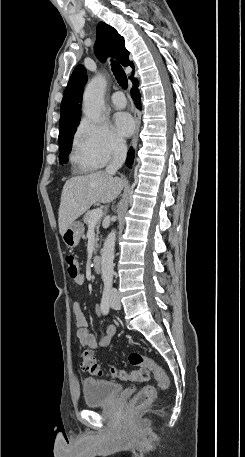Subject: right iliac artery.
<instances>
[{
    "label": "right iliac artery",
    "mask_w": 245,
    "mask_h": 457,
    "mask_svg": "<svg viewBox=\"0 0 245 457\" xmlns=\"http://www.w3.org/2000/svg\"><path fill=\"white\" fill-rule=\"evenodd\" d=\"M110 309V289L104 288L103 296L101 299V311L103 314L107 315Z\"/></svg>",
    "instance_id": "82829eb1"
}]
</instances>
